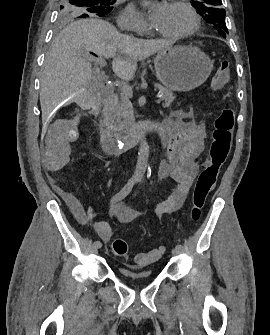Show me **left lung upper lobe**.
<instances>
[{
  "label": "left lung upper lobe",
  "mask_w": 270,
  "mask_h": 335,
  "mask_svg": "<svg viewBox=\"0 0 270 335\" xmlns=\"http://www.w3.org/2000/svg\"><path fill=\"white\" fill-rule=\"evenodd\" d=\"M191 4L204 19L218 30L220 35L226 37V33L228 32L225 23L226 13L225 10L220 7L222 5L221 0H192Z\"/></svg>",
  "instance_id": "left-lung-upper-lobe-1"
}]
</instances>
